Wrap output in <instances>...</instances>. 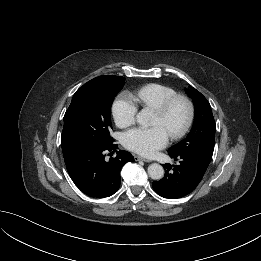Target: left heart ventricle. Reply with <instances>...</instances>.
<instances>
[{
  "label": "left heart ventricle",
  "mask_w": 261,
  "mask_h": 261,
  "mask_svg": "<svg viewBox=\"0 0 261 261\" xmlns=\"http://www.w3.org/2000/svg\"><path fill=\"white\" fill-rule=\"evenodd\" d=\"M186 112L184 103L178 102L166 117H160L154 112L151 124L153 126H161L170 135L183 125L186 119Z\"/></svg>",
  "instance_id": "b2bd125f"
}]
</instances>
